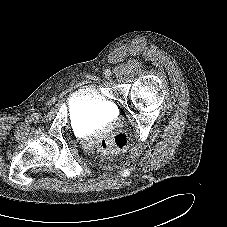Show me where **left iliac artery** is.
Listing matches in <instances>:
<instances>
[{"label":"left iliac artery","instance_id":"obj_1","mask_svg":"<svg viewBox=\"0 0 227 227\" xmlns=\"http://www.w3.org/2000/svg\"><path fill=\"white\" fill-rule=\"evenodd\" d=\"M111 74H112V72H111L110 69H107V70L105 71V75L110 76Z\"/></svg>","mask_w":227,"mask_h":227}]
</instances>
